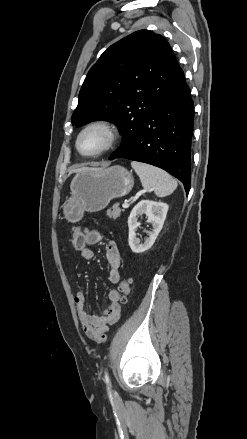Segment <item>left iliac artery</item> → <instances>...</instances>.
Wrapping results in <instances>:
<instances>
[{
	"label": "left iliac artery",
	"mask_w": 247,
	"mask_h": 439,
	"mask_svg": "<svg viewBox=\"0 0 247 439\" xmlns=\"http://www.w3.org/2000/svg\"><path fill=\"white\" fill-rule=\"evenodd\" d=\"M104 380H105V382H106L107 384H110V379H109V375H108V372H107V371H105Z\"/></svg>",
	"instance_id": "44dca946"
}]
</instances>
